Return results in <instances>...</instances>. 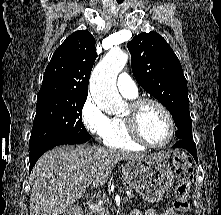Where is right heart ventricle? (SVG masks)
<instances>
[{
    "label": "right heart ventricle",
    "instance_id": "obj_1",
    "mask_svg": "<svg viewBox=\"0 0 221 215\" xmlns=\"http://www.w3.org/2000/svg\"><path fill=\"white\" fill-rule=\"evenodd\" d=\"M137 96V95H136ZM136 96H125L132 100ZM104 143L113 148L138 151L142 150L144 146L137 143L129 134L127 125L123 117L115 116L110 119V130L108 134L103 138Z\"/></svg>",
    "mask_w": 221,
    "mask_h": 215
}]
</instances>
